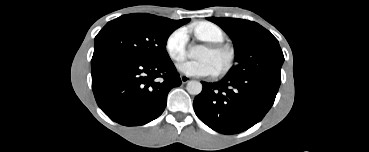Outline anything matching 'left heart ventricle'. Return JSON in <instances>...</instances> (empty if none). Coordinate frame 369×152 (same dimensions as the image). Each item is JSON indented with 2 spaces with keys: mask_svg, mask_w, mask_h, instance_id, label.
I'll return each instance as SVG.
<instances>
[{
  "mask_svg": "<svg viewBox=\"0 0 369 152\" xmlns=\"http://www.w3.org/2000/svg\"><path fill=\"white\" fill-rule=\"evenodd\" d=\"M203 58H211L214 63L216 64L217 69L222 65L223 63V57L219 54L214 53L210 47H207L206 50L202 54Z\"/></svg>",
  "mask_w": 369,
  "mask_h": 152,
  "instance_id": "obj_1",
  "label": "left heart ventricle"
}]
</instances>
